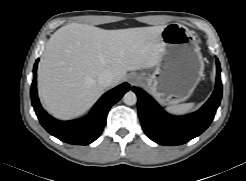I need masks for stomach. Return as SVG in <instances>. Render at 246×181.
I'll return each instance as SVG.
<instances>
[{"label": "stomach", "mask_w": 246, "mask_h": 181, "mask_svg": "<svg viewBox=\"0 0 246 181\" xmlns=\"http://www.w3.org/2000/svg\"><path fill=\"white\" fill-rule=\"evenodd\" d=\"M164 51L151 74H140L142 84L162 105L186 101L203 77L204 61L192 33L172 23L161 33Z\"/></svg>", "instance_id": "0dacf381"}]
</instances>
